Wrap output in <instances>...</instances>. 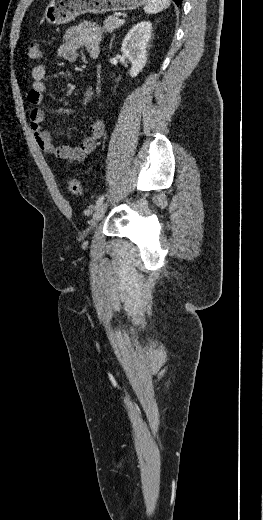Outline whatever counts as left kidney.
I'll use <instances>...</instances> for the list:
<instances>
[{"mask_svg": "<svg viewBox=\"0 0 263 520\" xmlns=\"http://www.w3.org/2000/svg\"><path fill=\"white\" fill-rule=\"evenodd\" d=\"M152 25L143 21L131 28L125 36L121 51L132 64L130 76L136 77L147 62V45L151 39Z\"/></svg>", "mask_w": 263, "mask_h": 520, "instance_id": "obj_1", "label": "left kidney"}]
</instances>
